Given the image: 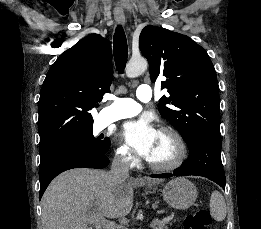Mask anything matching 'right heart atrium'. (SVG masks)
<instances>
[{
    "label": "right heart atrium",
    "instance_id": "right-heart-atrium-1",
    "mask_svg": "<svg viewBox=\"0 0 261 229\" xmlns=\"http://www.w3.org/2000/svg\"><path fill=\"white\" fill-rule=\"evenodd\" d=\"M115 160L118 164L127 169H134L138 164L136 156L129 148V146L125 144L119 145L116 149Z\"/></svg>",
    "mask_w": 261,
    "mask_h": 229
}]
</instances>
